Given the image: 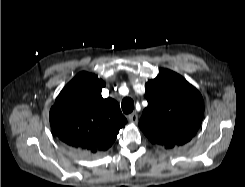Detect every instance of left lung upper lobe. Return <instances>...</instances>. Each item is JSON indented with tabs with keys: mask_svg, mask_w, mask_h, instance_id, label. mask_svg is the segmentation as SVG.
<instances>
[{
	"mask_svg": "<svg viewBox=\"0 0 245 187\" xmlns=\"http://www.w3.org/2000/svg\"><path fill=\"white\" fill-rule=\"evenodd\" d=\"M145 88L148 106L139 127L149 140L165 148L190 141L204 115L199 91L179 74L166 69L147 82Z\"/></svg>",
	"mask_w": 245,
	"mask_h": 187,
	"instance_id": "obj_1",
	"label": "left lung upper lobe"
}]
</instances>
